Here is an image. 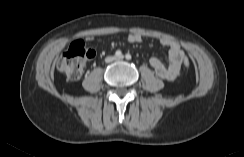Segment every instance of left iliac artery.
Here are the masks:
<instances>
[{"label": "left iliac artery", "mask_w": 244, "mask_h": 157, "mask_svg": "<svg viewBox=\"0 0 244 157\" xmlns=\"http://www.w3.org/2000/svg\"><path fill=\"white\" fill-rule=\"evenodd\" d=\"M125 57H126L127 60H130V59L132 58L131 54H129V53H127V54L125 55Z\"/></svg>", "instance_id": "left-iliac-artery-1"}]
</instances>
